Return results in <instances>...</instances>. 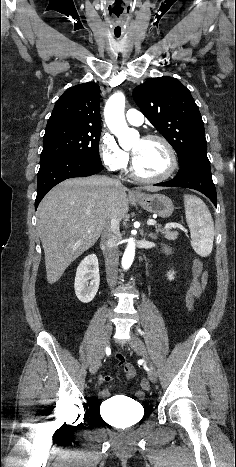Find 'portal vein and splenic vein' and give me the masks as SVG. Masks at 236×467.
<instances>
[{
  "label": "portal vein and splenic vein",
  "instance_id": "portal-vein-and-splenic-vein-1",
  "mask_svg": "<svg viewBox=\"0 0 236 467\" xmlns=\"http://www.w3.org/2000/svg\"><path fill=\"white\" fill-rule=\"evenodd\" d=\"M147 225L154 226V225H156V221L150 219V220L147 221Z\"/></svg>",
  "mask_w": 236,
  "mask_h": 467
}]
</instances>
